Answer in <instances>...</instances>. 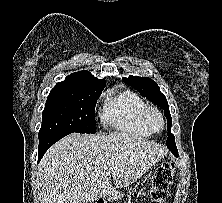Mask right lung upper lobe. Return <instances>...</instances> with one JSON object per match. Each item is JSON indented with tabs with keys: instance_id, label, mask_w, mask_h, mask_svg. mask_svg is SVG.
<instances>
[{
	"instance_id": "1",
	"label": "right lung upper lobe",
	"mask_w": 222,
	"mask_h": 203,
	"mask_svg": "<svg viewBox=\"0 0 222 203\" xmlns=\"http://www.w3.org/2000/svg\"><path fill=\"white\" fill-rule=\"evenodd\" d=\"M105 85L104 79H97L89 71L83 70L68 75L63 82H58L53 89L102 91Z\"/></svg>"
}]
</instances>
